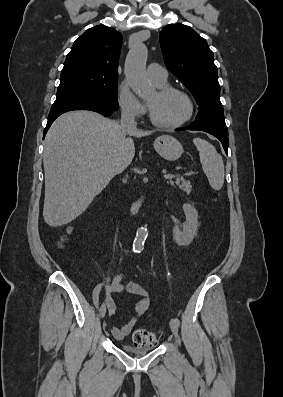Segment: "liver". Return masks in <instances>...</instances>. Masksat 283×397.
Listing matches in <instances>:
<instances>
[{
  "mask_svg": "<svg viewBox=\"0 0 283 397\" xmlns=\"http://www.w3.org/2000/svg\"><path fill=\"white\" fill-rule=\"evenodd\" d=\"M152 133L127 132L118 122L93 111H70L58 117L44 142L45 222L58 227L81 215L132 162L135 146L131 137Z\"/></svg>",
  "mask_w": 283,
  "mask_h": 397,
  "instance_id": "obj_1",
  "label": "liver"
}]
</instances>
